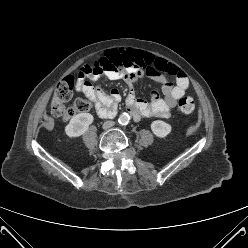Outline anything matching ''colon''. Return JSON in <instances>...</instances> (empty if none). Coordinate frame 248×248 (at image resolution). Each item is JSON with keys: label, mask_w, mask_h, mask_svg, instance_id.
<instances>
[{"label": "colon", "mask_w": 248, "mask_h": 248, "mask_svg": "<svg viewBox=\"0 0 248 248\" xmlns=\"http://www.w3.org/2000/svg\"><path fill=\"white\" fill-rule=\"evenodd\" d=\"M131 64L126 61L119 52H109L93 60L87 67L88 73L100 74L105 71H126ZM74 79L67 76L60 80L55 87L51 102V113L54 117L64 121L70 120L79 113L88 112L92 108L90 101L77 99L70 107H65V102L70 100L73 94ZM195 108L191 97H183L179 100L177 109L183 114H190Z\"/></svg>", "instance_id": "obj_1"}]
</instances>
